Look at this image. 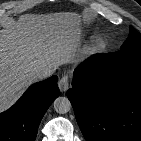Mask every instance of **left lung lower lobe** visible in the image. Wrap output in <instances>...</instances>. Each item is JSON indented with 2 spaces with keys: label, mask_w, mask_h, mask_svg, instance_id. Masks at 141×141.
I'll return each instance as SVG.
<instances>
[{
  "label": "left lung lower lobe",
  "mask_w": 141,
  "mask_h": 141,
  "mask_svg": "<svg viewBox=\"0 0 141 141\" xmlns=\"http://www.w3.org/2000/svg\"><path fill=\"white\" fill-rule=\"evenodd\" d=\"M67 96L86 141H141V49L96 54Z\"/></svg>",
  "instance_id": "obj_1"
}]
</instances>
